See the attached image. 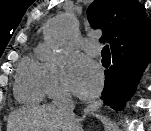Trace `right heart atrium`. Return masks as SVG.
Here are the masks:
<instances>
[{
  "mask_svg": "<svg viewBox=\"0 0 151 131\" xmlns=\"http://www.w3.org/2000/svg\"><path fill=\"white\" fill-rule=\"evenodd\" d=\"M40 62L46 94L52 98L68 95L65 59L59 55L45 53Z\"/></svg>",
  "mask_w": 151,
  "mask_h": 131,
  "instance_id": "right-heart-atrium-1",
  "label": "right heart atrium"
}]
</instances>
